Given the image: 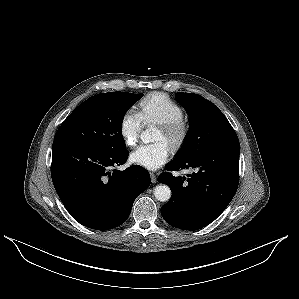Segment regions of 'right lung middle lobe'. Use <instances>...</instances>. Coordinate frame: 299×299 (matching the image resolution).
Masks as SVG:
<instances>
[{
    "mask_svg": "<svg viewBox=\"0 0 299 299\" xmlns=\"http://www.w3.org/2000/svg\"><path fill=\"white\" fill-rule=\"evenodd\" d=\"M143 94L108 92L80 104L59 127L54 142H71L95 150H125L121 127L128 109Z\"/></svg>",
    "mask_w": 299,
    "mask_h": 299,
    "instance_id": "obj_1",
    "label": "right lung middle lobe"
}]
</instances>
